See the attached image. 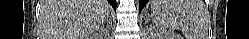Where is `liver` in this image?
<instances>
[{
	"mask_svg": "<svg viewBox=\"0 0 249 39\" xmlns=\"http://www.w3.org/2000/svg\"><path fill=\"white\" fill-rule=\"evenodd\" d=\"M42 39H88L110 14L107 0H41Z\"/></svg>",
	"mask_w": 249,
	"mask_h": 39,
	"instance_id": "6515ba94",
	"label": "liver"
}]
</instances>
